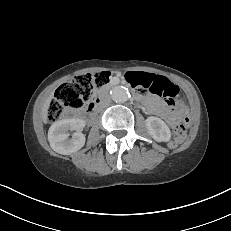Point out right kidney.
<instances>
[{
  "label": "right kidney",
  "instance_id": "1",
  "mask_svg": "<svg viewBox=\"0 0 231 231\" xmlns=\"http://www.w3.org/2000/svg\"><path fill=\"white\" fill-rule=\"evenodd\" d=\"M85 122L81 119H64L54 122L48 131V140L51 148L63 155L77 152L85 144V135L81 132ZM68 131H76L68 139Z\"/></svg>",
  "mask_w": 231,
  "mask_h": 231
}]
</instances>
